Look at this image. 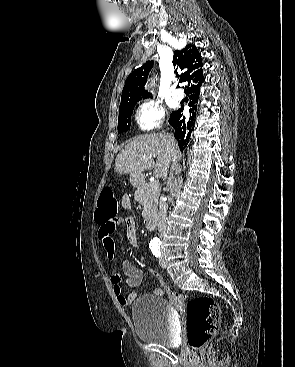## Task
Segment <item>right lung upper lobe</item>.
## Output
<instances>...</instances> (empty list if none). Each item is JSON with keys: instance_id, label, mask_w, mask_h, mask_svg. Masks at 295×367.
Returning <instances> with one entry per match:
<instances>
[{"instance_id": "right-lung-upper-lobe-1", "label": "right lung upper lobe", "mask_w": 295, "mask_h": 367, "mask_svg": "<svg viewBox=\"0 0 295 367\" xmlns=\"http://www.w3.org/2000/svg\"><path fill=\"white\" fill-rule=\"evenodd\" d=\"M154 61H147L143 66L135 69L126 79L122 90L121 104L141 100L150 94L144 90V84L148 78ZM174 67L184 72L180 75L181 82H187L185 92L204 82L201 54L194 45H187L182 50H176L173 56ZM177 74V71H176ZM179 77V75L177 74Z\"/></svg>"}]
</instances>
